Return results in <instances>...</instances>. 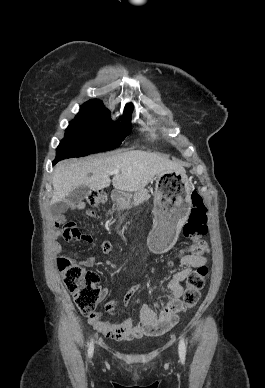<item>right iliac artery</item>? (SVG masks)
<instances>
[{
	"mask_svg": "<svg viewBox=\"0 0 265 388\" xmlns=\"http://www.w3.org/2000/svg\"><path fill=\"white\" fill-rule=\"evenodd\" d=\"M93 350H94V343H93V339H91V342L89 344V349H88V355H89L90 358L93 355Z\"/></svg>",
	"mask_w": 265,
	"mask_h": 388,
	"instance_id": "right-iliac-artery-1",
	"label": "right iliac artery"
}]
</instances>
